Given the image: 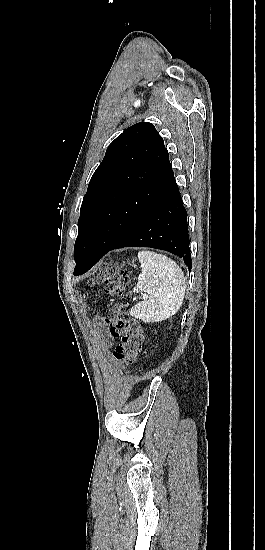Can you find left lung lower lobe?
I'll list each match as a JSON object with an SVG mask.
<instances>
[{"label":"left lung lower lobe","instance_id":"obj_1","mask_svg":"<svg viewBox=\"0 0 265 550\" xmlns=\"http://www.w3.org/2000/svg\"><path fill=\"white\" fill-rule=\"evenodd\" d=\"M131 246L166 250L182 258L191 270L187 214L175 180L109 249L89 252L74 275L88 271L110 250Z\"/></svg>","mask_w":265,"mask_h":550}]
</instances>
